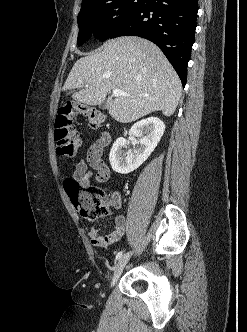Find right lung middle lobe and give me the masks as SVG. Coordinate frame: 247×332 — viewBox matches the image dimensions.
I'll return each mask as SVG.
<instances>
[{"label": "right lung middle lobe", "mask_w": 247, "mask_h": 332, "mask_svg": "<svg viewBox=\"0 0 247 332\" xmlns=\"http://www.w3.org/2000/svg\"><path fill=\"white\" fill-rule=\"evenodd\" d=\"M146 0H101L80 10L77 22L79 26L78 46L93 33L101 41L109 38L112 30L125 18L140 9Z\"/></svg>", "instance_id": "1"}]
</instances>
